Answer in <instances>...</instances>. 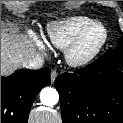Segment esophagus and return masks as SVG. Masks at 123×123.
<instances>
[{"label":"esophagus","mask_w":123,"mask_h":123,"mask_svg":"<svg viewBox=\"0 0 123 123\" xmlns=\"http://www.w3.org/2000/svg\"><path fill=\"white\" fill-rule=\"evenodd\" d=\"M58 73L56 70H52L50 73V78H51V82L54 83L55 79L57 78Z\"/></svg>","instance_id":"obj_1"}]
</instances>
